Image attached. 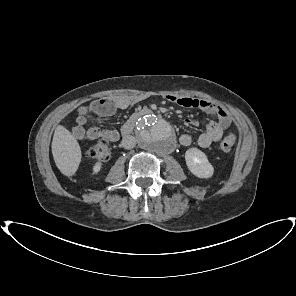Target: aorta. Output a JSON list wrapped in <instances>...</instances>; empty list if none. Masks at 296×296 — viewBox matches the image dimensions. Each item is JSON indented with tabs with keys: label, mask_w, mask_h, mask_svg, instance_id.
<instances>
[{
	"label": "aorta",
	"mask_w": 296,
	"mask_h": 296,
	"mask_svg": "<svg viewBox=\"0 0 296 296\" xmlns=\"http://www.w3.org/2000/svg\"><path fill=\"white\" fill-rule=\"evenodd\" d=\"M137 141L140 147L156 155L171 152L175 147L172 126L155 115H146L137 124Z\"/></svg>",
	"instance_id": "1"
}]
</instances>
